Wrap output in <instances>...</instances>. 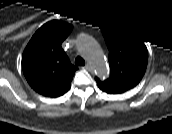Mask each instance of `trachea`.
I'll use <instances>...</instances> for the list:
<instances>
[{"label":"trachea","instance_id":"1","mask_svg":"<svg viewBox=\"0 0 172 134\" xmlns=\"http://www.w3.org/2000/svg\"><path fill=\"white\" fill-rule=\"evenodd\" d=\"M75 63H76V65H85V61L83 60V58H81L79 56L76 57Z\"/></svg>","mask_w":172,"mask_h":134}]
</instances>
